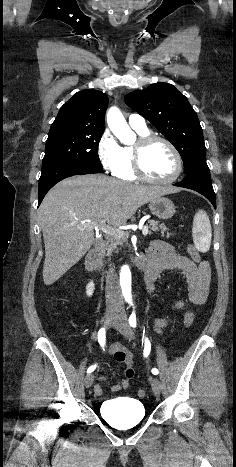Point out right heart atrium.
Listing matches in <instances>:
<instances>
[{
	"label": "right heart atrium",
	"mask_w": 236,
	"mask_h": 467,
	"mask_svg": "<svg viewBox=\"0 0 236 467\" xmlns=\"http://www.w3.org/2000/svg\"><path fill=\"white\" fill-rule=\"evenodd\" d=\"M97 156L101 166L115 172L123 162V148L109 130H105L97 143Z\"/></svg>",
	"instance_id": "1"
}]
</instances>
